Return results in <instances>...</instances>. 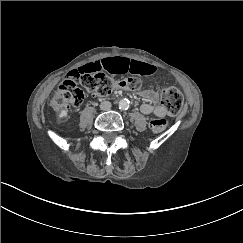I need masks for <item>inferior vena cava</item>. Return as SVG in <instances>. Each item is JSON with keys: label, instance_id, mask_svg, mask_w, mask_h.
Returning <instances> with one entry per match:
<instances>
[{"label": "inferior vena cava", "instance_id": "obj_1", "mask_svg": "<svg viewBox=\"0 0 243 243\" xmlns=\"http://www.w3.org/2000/svg\"><path fill=\"white\" fill-rule=\"evenodd\" d=\"M111 102H109V101H103V102H101V104H100V108L102 109V110H110V108H111Z\"/></svg>", "mask_w": 243, "mask_h": 243}]
</instances>
